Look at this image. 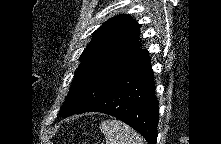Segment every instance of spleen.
<instances>
[{
    "label": "spleen",
    "mask_w": 221,
    "mask_h": 144,
    "mask_svg": "<svg viewBox=\"0 0 221 144\" xmlns=\"http://www.w3.org/2000/svg\"><path fill=\"white\" fill-rule=\"evenodd\" d=\"M100 129L107 144H144V139L122 121L115 119L103 121Z\"/></svg>",
    "instance_id": "3e777b00"
}]
</instances>
